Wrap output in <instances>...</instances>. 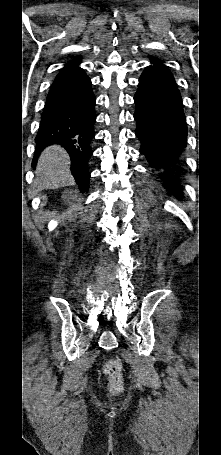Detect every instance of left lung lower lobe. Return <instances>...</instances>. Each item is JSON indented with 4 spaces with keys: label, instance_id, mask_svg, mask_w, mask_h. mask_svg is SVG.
Returning a JSON list of instances; mask_svg holds the SVG:
<instances>
[{
    "label": "left lung lower lobe",
    "instance_id": "1",
    "mask_svg": "<svg viewBox=\"0 0 221 455\" xmlns=\"http://www.w3.org/2000/svg\"><path fill=\"white\" fill-rule=\"evenodd\" d=\"M134 102L140 153L158 171L165 187L180 199L182 193L174 170L186 147L187 126L180 92L163 64L153 62L145 68Z\"/></svg>",
    "mask_w": 221,
    "mask_h": 455
}]
</instances>
